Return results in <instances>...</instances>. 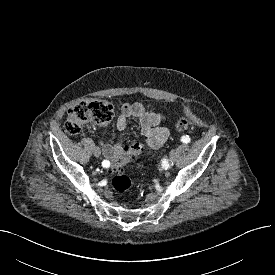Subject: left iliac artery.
<instances>
[{
  "instance_id": "left-iliac-artery-1",
  "label": "left iliac artery",
  "mask_w": 275,
  "mask_h": 275,
  "mask_svg": "<svg viewBox=\"0 0 275 275\" xmlns=\"http://www.w3.org/2000/svg\"><path fill=\"white\" fill-rule=\"evenodd\" d=\"M181 141H182L184 144H187V143L190 142V138H189L188 135H186V136H183V137L181 138Z\"/></svg>"
}]
</instances>
